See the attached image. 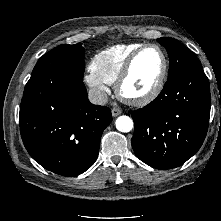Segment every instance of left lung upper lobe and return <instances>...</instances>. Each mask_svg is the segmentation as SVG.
Returning a JSON list of instances; mask_svg holds the SVG:
<instances>
[{"instance_id":"5c2ea615","label":"left lung upper lobe","mask_w":221,"mask_h":221,"mask_svg":"<svg viewBox=\"0 0 221 221\" xmlns=\"http://www.w3.org/2000/svg\"><path fill=\"white\" fill-rule=\"evenodd\" d=\"M157 41L166 48L170 59L167 82L172 81L188 70L202 68L198 58L178 40L159 38Z\"/></svg>"}]
</instances>
